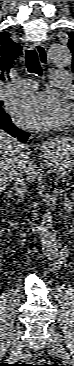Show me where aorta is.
Here are the masks:
<instances>
[{
    "label": "aorta",
    "mask_w": 74,
    "mask_h": 366,
    "mask_svg": "<svg viewBox=\"0 0 74 366\" xmlns=\"http://www.w3.org/2000/svg\"><path fill=\"white\" fill-rule=\"evenodd\" d=\"M49 62L63 69L71 65L72 55L68 46L64 43H52L48 46ZM40 244L48 252V256L55 258L57 256L56 232L50 220L43 219L38 227Z\"/></svg>",
    "instance_id": "1"
}]
</instances>
